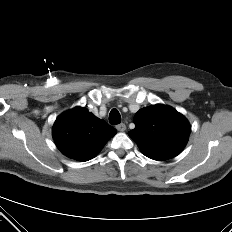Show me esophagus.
Listing matches in <instances>:
<instances>
[{
  "label": "esophagus",
  "mask_w": 232,
  "mask_h": 232,
  "mask_svg": "<svg viewBox=\"0 0 232 232\" xmlns=\"http://www.w3.org/2000/svg\"><path fill=\"white\" fill-rule=\"evenodd\" d=\"M116 129L120 132H123L126 130V125L124 123H120V124L116 125Z\"/></svg>",
  "instance_id": "1"
}]
</instances>
